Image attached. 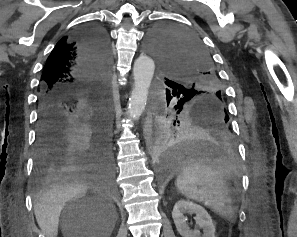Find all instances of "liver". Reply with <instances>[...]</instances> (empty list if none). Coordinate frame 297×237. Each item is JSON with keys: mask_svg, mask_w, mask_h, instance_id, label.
I'll return each instance as SVG.
<instances>
[{"mask_svg": "<svg viewBox=\"0 0 297 237\" xmlns=\"http://www.w3.org/2000/svg\"><path fill=\"white\" fill-rule=\"evenodd\" d=\"M90 177L72 174L56 178L59 182L42 190L35 199L34 213L36 221L45 237H57L59 218L66 202L78 198L88 188Z\"/></svg>", "mask_w": 297, "mask_h": 237, "instance_id": "liver-1", "label": "liver"}]
</instances>
